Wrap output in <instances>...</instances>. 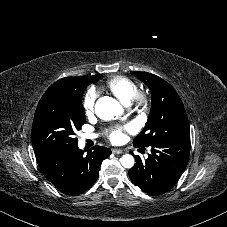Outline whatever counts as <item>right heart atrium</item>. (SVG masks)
<instances>
[{
	"label": "right heart atrium",
	"instance_id": "obj_1",
	"mask_svg": "<svg viewBox=\"0 0 227 227\" xmlns=\"http://www.w3.org/2000/svg\"><path fill=\"white\" fill-rule=\"evenodd\" d=\"M97 92L95 89H89L83 98L82 107L86 115H92L95 110Z\"/></svg>",
	"mask_w": 227,
	"mask_h": 227
}]
</instances>
